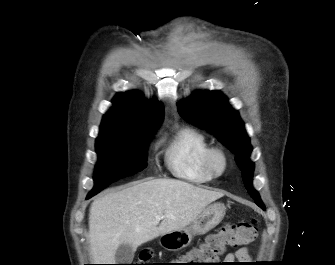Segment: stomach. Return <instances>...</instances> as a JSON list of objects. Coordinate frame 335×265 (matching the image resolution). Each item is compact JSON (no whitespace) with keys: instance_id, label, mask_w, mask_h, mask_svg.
I'll use <instances>...</instances> for the list:
<instances>
[{"instance_id":"0dacf381","label":"stomach","mask_w":335,"mask_h":265,"mask_svg":"<svg viewBox=\"0 0 335 265\" xmlns=\"http://www.w3.org/2000/svg\"><path fill=\"white\" fill-rule=\"evenodd\" d=\"M226 207L215 202L207 207L187 227L161 235L160 245L169 251L188 246L195 235H203L215 228L224 218Z\"/></svg>"}]
</instances>
